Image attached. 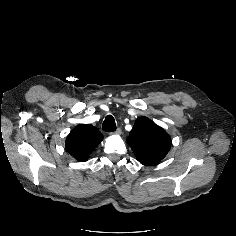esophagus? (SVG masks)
<instances>
[{
  "mask_svg": "<svg viewBox=\"0 0 236 236\" xmlns=\"http://www.w3.org/2000/svg\"><path fill=\"white\" fill-rule=\"evenodd\" d=\"M121 133H122V131L120 128H118L114 132H112V134H114V135H120Z\"/></svg>",
  "mask_w": 236,
  "mask_h": 236,
  "instance_id": "1",
  "label": "esophagus"
}]
</instances>
